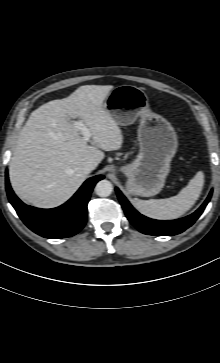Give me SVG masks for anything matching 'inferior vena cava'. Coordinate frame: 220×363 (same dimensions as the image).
<instances>
[{
	"mask_svg": "<svg viewBox=\"0 0 220 363\" xmlns=\"http://www.w3.org/2000/svg\"><path fill=\"white\" fill-rule=\"evenodd\" d=\"M96 168V165L93 162H86L83 164L82 171L85 174H89Z\"/></svg>",
	"mask_w": 220,
	"mask_h": 363,
	"instance_id": "obj_1",
	"label": "inferior vena cava"
}]
</instances>
